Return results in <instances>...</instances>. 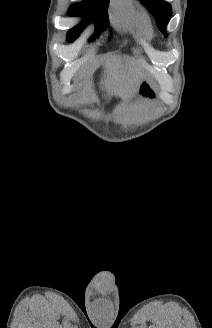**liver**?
<instances>
[{
  "label": "liver",
  "mask_w": 212,
  "mask_h": 328,
  "mask_svg": "<svg viewBox=\"0 0 212 328\" xmlns=\"http://www.w3.org/2000/svg\"><path fill=\"white\" fill-rule=\"evenodd\" d=\"M105 69L107 75L105 85L114 94L122 95L129 86V79L122 69L119 58L109 57L106 60Z\"/></svg>",
  "instance_id": "1"
}]
</instances>
